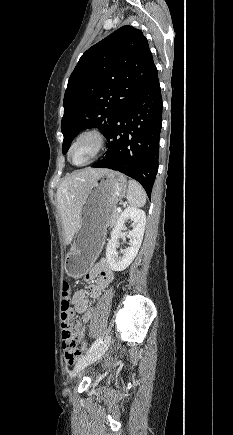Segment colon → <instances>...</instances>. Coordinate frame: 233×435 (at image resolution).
<instances>
[{
	"label": "colon",
	"mask_w": 233,
	"mask_h": 435,
	"mask_svg": "<svg viewBox=\"0 0 233 435\" xmlns=\"http://www.w3.org/2000/svg\"><path fill=\"white\" fill-rule=\"evenodd\" d=\"M71 286L67 281H63L61 289V308L64 315L72 314L71 305ZM63 349L65 359L69 363H73L80 355V350L76 342V332L73 327L66 328L63 331Z\"/></svg>",
	"instance_id": "1"
}]
</instances>
